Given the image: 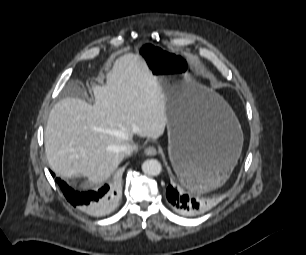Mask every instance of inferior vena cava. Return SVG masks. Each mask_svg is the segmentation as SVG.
I'll use <instances>...</instances> for the list:
<instances>
[{
    "label": "inferior vena cava",
    "mask_w": 306,
    "mask_h": 255,
    "mask_svg": "<svg viewBox=\"0 0 306 255\" xmlns=\"http://www.w3.org/2000/svg\"><path fill=\"white\" fill-rule=\"evenodd\" d=\"M124 155H131L134 151L138 150V146L134 143H126L120 148Z\"/></svg>",
    "instance_id": "1"
}]
</instances>
